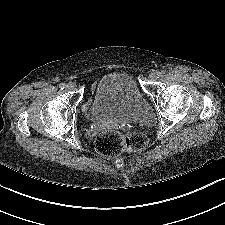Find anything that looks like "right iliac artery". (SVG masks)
Wrapping results in <instances>:
<instances>
[{
	"label": "right iliac artery",
	"mask_w": 225,
	"mask_h": 225,
	"mask_svg": "<svg viewBox=\"0 0 225 225\" xmlns=\"http://www.w3.org/2000/svg\"><path fill=\"white\" fill-rule=\"evenodd\" d=\"M59 88L62 89V90L65 89L66 88V84L65 83L59 84Z\"/></svg>",
	"instance_id": "obj_1"
}]
</instances>
